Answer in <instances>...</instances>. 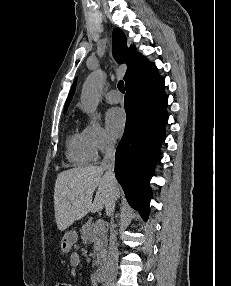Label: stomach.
<instances>
[{
    "mask_svg": "<svg viewBox=\"0 0 231 286\" xmlns=\"http://www.w3.org/2000/svg\"><path fill=\"white\" fill-rule=\"evenodd\" d=\"M78 235L75 231H68L64 234L61 240V250L64 253H68L72 246L77 242Z\"/></svg>",
    "mask_w": 231,
    "mask_h": 286,
    "instance_id": "0dacf381",
    "label": "stomach"
}]
</instances>
